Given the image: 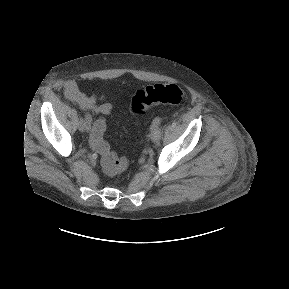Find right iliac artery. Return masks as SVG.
<instances>
[{"label": "right iliac artery", "instance_id": "obj_1", "mask_svg": "<svg viewBox=\"0 0 289 289\" xmlns=\"http://www.w3.org/2000/svg\"><path fill=\"white\" fill-rule=\"evenodd\" d=\"M85 119H86V121H88V122H91V120H92V118H91V116H90L89 114H86V115H85Z\"/></svg>", "mask_w": 289, "mask_h": 289}]
</instances>
